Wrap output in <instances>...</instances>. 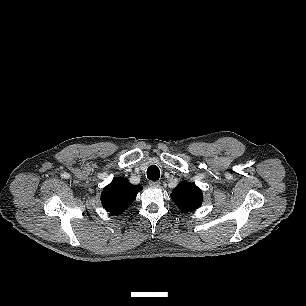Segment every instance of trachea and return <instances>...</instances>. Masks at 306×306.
Here are the masks:
<instances>
[{"label":"trachea","mask_w":306,"mask_h":306,"mask_svg":"<svg viewBox=\"0 0 306 306\" xmlns=\"http://www.w3.org/2000/svg\"><path fill=\"white\" fill-rule=\"evenodd\" d=\"M147 178L149 180H153L156 181L160 178V170L157 166L155 165H151L148 169H147Z\"/></svg>","instance_id":"3493384b"}]
</instances>
